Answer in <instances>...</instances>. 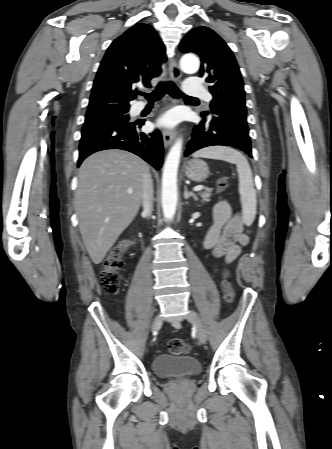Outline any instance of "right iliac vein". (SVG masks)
Returning a JSON list of instances; mask_svg holds the SVG:
<instances>
[{
  "instance_id": "right-iliac-vein-1",
  "label": "right iliac vein",
  "mask_w": 332,
  "mask_h": 449,
  "mask_svg": "<svg viewBox=\"0 0 332 449\" xmlns=\"http://www.w3.org/2000/svg\"><path fill=\"white\" fill-rule=\"evenodd\" d=\"M161 324H162V319L159 316L155 317V319L153 320V323H152V329L154 330V329L159 328L161 326Z\"/></svg>"
}]
</instances>
